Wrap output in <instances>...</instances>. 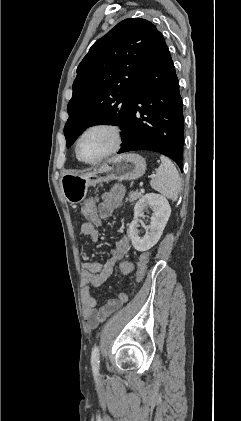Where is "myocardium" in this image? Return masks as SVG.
I'll return each instance as SVG.
<instances>
[{"mask_svg": "<svg viewBox=\"0 0 241 421\" xmlns=\"http://www.w3.org/2000/svg\"><path fill=\"white\" fill-rule=\"evenodd\" d=\"M98 129L106 130L111 134L112 145L100 157H98L94 160H85V159L81 158L80 153H79L80 142L87 133H89L93 130H98ZM122 141H123V133H122V129L118 125H115V124L109 123V122L95 123V124H92V125L88 126L87 128H85L81 132L79 137L77 138L76 143H75V154H76V157L78 158L79 161H81L83 163H86V164H89V165H95V164H98V163L104 161L105 159L112 156L116 152H118L119 149L121 148Z\"/></svg>", "mask_w": 241, "mask_h": 421, "instance_id": "1", "label": "myocardium"}]
</instances>
